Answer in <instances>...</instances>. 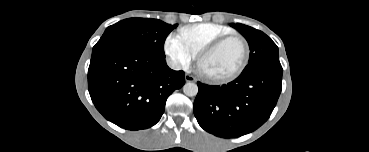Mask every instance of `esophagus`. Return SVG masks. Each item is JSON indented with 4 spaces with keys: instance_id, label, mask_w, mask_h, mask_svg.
<instances>
[{
    "instance_id": "1",
    "label": "esophagus",
    "mask_w": 369,
    "mask_h": 152,
    "mask_svg": "<svg viewBox=\"0 0 369 152\" xmlns=\"http://www.w3.org/2000/svg\"><path fill=\"white\" fill-rule=\"evenodd\" d=\"M185 80L186 82H195L196 81V78L190 74H186L185 75Z\"/></svg>"
}]
</instances>
